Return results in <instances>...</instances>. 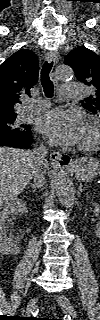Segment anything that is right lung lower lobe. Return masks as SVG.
Instances as JSON below:
<instances>
[{"label":"right lung lower lobe","mask_w":100,"mask_h":320,"mask_svg":"<svg viewBox=\"0 0 100 320\" xmlns=\"http://www.w3.org/2000/svg\"><path fill=\"white\" fill-rule=\"evenodd\" d=\"M33 142L34 141L30 131L26 134H21V135H10V134L0 135L1 146L30 148Z\"/></svg>","instance_id":"obj_1"}]
</instances>
